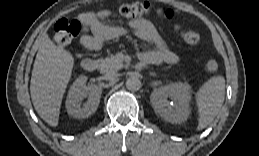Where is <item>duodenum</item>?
<instances>
[{
  "label": "duodenum",
  "instance_id": "duodenum-1",
  "mask_svg": "<svg viewBox=\"0 0 259 156\" xmlns=\"http://www.w3.org/2000/svg\"><path fill=\"white\" fill-rule=\"evenodd\" d=\"M95 48H97V47H95ZM82 67H83L84 70H86L88 72H94L95 70L98 69L99 62L95 59H92V58H86L82 62Z\"/></svg>",
  "mask_w": 259,
  "mask_h": 156
}]
</instances>
